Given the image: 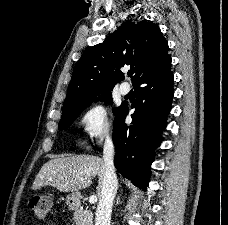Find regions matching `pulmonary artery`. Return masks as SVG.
<instances>
[{"instance_id": "obj_1", "label": "pulmonary artery", "mask_w": 228, "mask_h": 225, "mask_svg": "<svg viewBox=\"0 0 228 225\" xmlns=\"http://www.w3.org/2000/svg\"><path fill=\"white\" fill-rule=\"evenodd\" d=\"M130 90H131V87H130L129 83H127V82L121 83V85L119 87V91L123 96L127 95L130 92Z\"/></svg>"}]
</instances>
